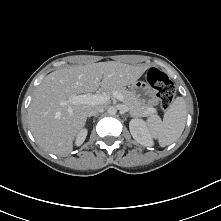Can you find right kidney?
I'll return each mask as SVG.
<instances>
[{"label": "right kidney", "instance_id": "right-kidney-1", "mask_svg": "<svg viewBox=\"0 0 221 221\" xmlns=\"http://www.w3.org/2000/svg\"><path fill=\"white\" fill-rule=\"evenodd\" d=\"M87 132H88L87 129L84 128L77 134L75 142L76 146H80L81 144H83V142L86 139Z\"/></svg>", "mask_w": 221, "mask_h": 221}]
</instances>
